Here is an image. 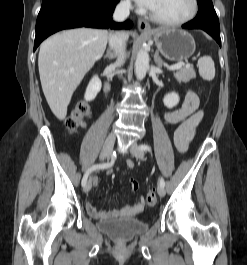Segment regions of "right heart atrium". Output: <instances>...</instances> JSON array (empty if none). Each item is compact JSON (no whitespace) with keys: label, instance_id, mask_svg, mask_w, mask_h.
Listing matches in <instances>:
<instances>
[{"label":"right heart atrium","instance_id":"obj_1","mask_svg":"<svg viewBox=\"0 0 247 265\" xmlns=\"http://www.w3.org/2000/svg\"><path fill=\"white\" fill-rule=\"evenodd\" d=\"M122 5H123L124 7H129V6H130L128 0H122Z\"/></svg>","mask_w":247,"mask_h":265}]
</instances>
